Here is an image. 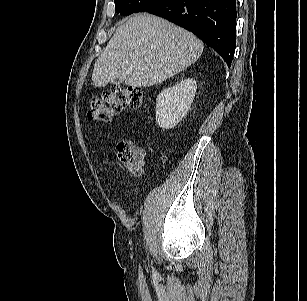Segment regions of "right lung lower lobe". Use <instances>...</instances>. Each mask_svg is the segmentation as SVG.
Returning <instances> with one entry per match:
<instances>
[{
  "label": "right lung lower lobe",
  "mask_w": 307,
  "mask_h": 301,
  "mask_svg": "<svg viewBox=\"0 0 307 301\" xmlns=\"http://www.w3.org/2000/svg\"><path fill=\"white\" fill-rule=\"evenodd\" d=\"M141 12L191 31L231 65L236 47V0H158Z\"/></svg>",
  "instance_id": "1"
}]
</instances>
